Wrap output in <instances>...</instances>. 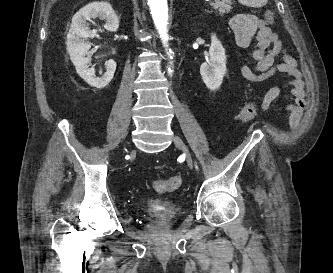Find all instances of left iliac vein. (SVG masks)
<instances>
[{"label":"left iliac vein","mask_w":333,"mask_h":273,"mask_svg":"<svg viewBox=\"0 0 333 273\" xmlns=\"http://www.w3.org/2000/svg\"><path fill=\"white\" fill-rule=\"evenodd\" d=\"M173 141H174V144L183 151V153L186 157V161H187L188 166L190 168H193V159L191 157V154H190L189 150L187 149L184 142L182 141V139L179 136L174 135L173 136Z\"/></svg>","instance_id":"4c4485c4"}]
</instances>
